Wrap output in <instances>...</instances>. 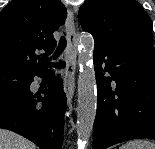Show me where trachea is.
Listing matches in <instances>:
<instances>
[{
  "label": "trachea",
  "instance_id": "obj_1",
  "mask_svg": "<svg viewBox=\"0 0 155 149\" xmlns=\"http://www.w3.org/2000/svg\"><path fill=\"white\" fill-rule=\"evenodd\" d=\"M65 47H66V38L65 36H62L59 45L54 53V57L57 58L62 53Z\"/></svg>",
  "mask_w": 155,
  "mask_h": 149
}]
</instances>
